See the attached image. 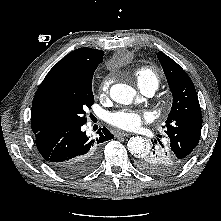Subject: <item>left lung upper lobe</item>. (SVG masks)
Wrapping results in <instances>:
<instances>
[{
	"instance_id": "left-lung-upper-lobe-1",
	"label": "left lung upper lobe",
	"mask_w": 221,
	"mask_h": 221,
	"mask_svg": "<svg viewBox=\"0 0 221 221\" xmlns=\"http://www.w3.org/2000/svg\"><path fill=\"white\" fill-rule=\"evenodd\" d=\"M173 104L166 120L167 142L176 156L186 162L197 146L202 128V114L195 87L187 73L170 57L159 51Z\"/></svg>"
}]
</instances>
